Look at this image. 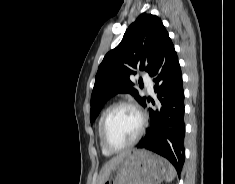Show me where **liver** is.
Returning a JSON list of instances; mask_svg holds the SVG:
<instances>
[{"label":"liver","instance_id":"liver-1","mask_svg":"<svg viewBox=\"0 0 235 184\" xmlns=\"http://www.w3.org/2000/svg\"><path fill=\"white\" fill-rule=\"evenodd\" d=\"M126 154H129V152H126ZM126 154H120V156H116V158H112L110 162H107V164H104L99 176H98V182L97 184H103L104 180H106L108 176V172H110L112 166H115V164H119L121 162L122 158H125Z\"/></svg>","mask_w":235,"mask_h":184}]
</instances>
